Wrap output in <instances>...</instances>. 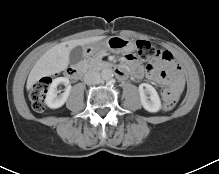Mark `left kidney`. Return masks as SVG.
<instances>
[{"mask_svg": "<svg viewBox=\"0 0 219 174\" xmlns=\"http://www.w3.org/2000/svg\"><path fill=\"white\" fill-rule=\"evenodd\" d=\"M140 100L143 108L148 112H158L161 109V101L155 88L148 84L139 85Z\"/></svg>", "mask_w": 219, "mask_h": 174, "instance_id": "left-kidney-1", "label": "left kidney"}]
</instances>
